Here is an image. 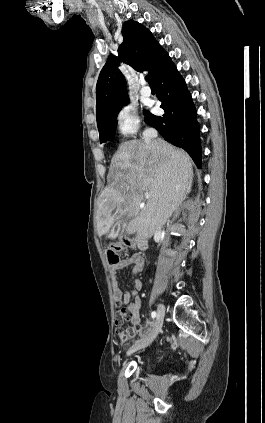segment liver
<instances>
[{"label": "liver", "instance_id": "6515ba94", "mask_svg": "<svg viewBox=\"0 0 265 423\" xmlns=\"http://www.w3.org/2000/svg\"><path fill=\"white\" fill-rule=\"evenodd\" d=\"M112 182L102 191L97 212L98 235L106 234L121 217L131 218L127 234L149 238L160 230L190 192L192 160L183 150L158 139L122 143L110 165ZM149 198L141 207L144 194Z\"/></svg>", "mask_w": 265, "mask_h": 423}]
</instances>
